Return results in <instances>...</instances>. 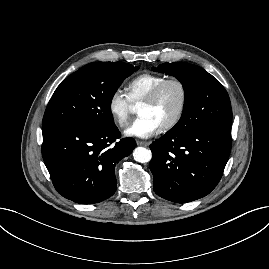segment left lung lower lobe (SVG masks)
Segmentation results:
<instances>
[{
  "mask_svg": "<svg viewBox=\"0 0 269 269\" xmlns=\"http://www.w3.org/2000/svg\"><path fill=\"white\" fill-rule=\"evenodd\" d=\"M150 149L155 193L172 202H191L208 195L220 181L231 150V126L167 132Z\"/></svg>",
  "mask_w": 269,
  "mask_h": 269,
  "instance_id": "0a47b994",
  "label": "left lung lower lobe"
}]
</instances>
